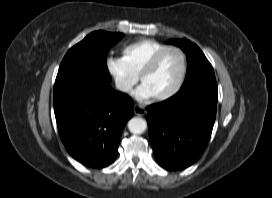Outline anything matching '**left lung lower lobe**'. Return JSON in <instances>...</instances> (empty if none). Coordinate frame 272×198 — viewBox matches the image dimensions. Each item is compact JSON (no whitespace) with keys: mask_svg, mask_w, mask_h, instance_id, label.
<instances>
[{"mask_svg":"<svg viewBox=\"0 0 272 198\" xmlns=\"http://www.w3.org/2000/svg\"><path fill=\"white\" fill-rule=\"evenodd\" d=\"M217 99L216 80L200 81L146 108L154 156L163 168L180 170L199 159L212 133Z\"/></svg>","mask_w":272,"mask_h":198,"instance_id":"0a47b994","label":"left lung lower lobe"}]
</instances>
